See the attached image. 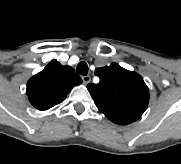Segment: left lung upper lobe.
Returning a JSON list of instances; mask_svg holds the SVG:
<instances>
[{"label":"left lung upper lobe","mask_w":181,"mask_h":164,"mask_svg":"<svg viewBox=\"0 0 181 164\" xmlns=\"http://www.w3.org/2000/svg\"><path fill=\"white\" fill-rule=\"evenodd\" d=\"M98 84H88L99 111L114 123L130 124L141 117L148 106L149 92L143 78L117 63L98 68Z\"/></svg>","instance_id":"obj_1"}]
</instances>
